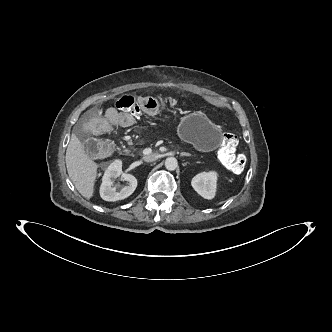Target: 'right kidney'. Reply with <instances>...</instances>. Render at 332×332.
<instances>
[{"instance_id": "right-kidney-1", "label": "right kidney", "mask_w": 332, "mask_h": 332, "mask_svg": "<svg viewBox=\"0 0 332 332\" xmlns=\"http://www.w3.org/2000/svg\"><path fill=\"white\" fill-rule=\"evenodd\" d=\"M121 177L128 182V186L123 187L119 192L113 187L114 179ZM137 187V179L132 174L122 172V161L114 160L106 169L100 187V196L105 201H118L129 197Z\"/></svg>"}]
</instances>
